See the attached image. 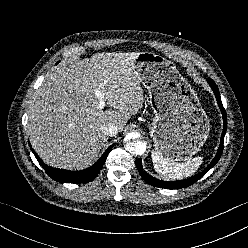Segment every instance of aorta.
<instances>
[{
    "mask_svg": "<svg viewBox=\"0 0 248 248\" xmlns=\"http://www.w3.org/2000/svg\"><path fill=\"white\" fill-rule=\"evenodd\" d=\"M137 133L128 134V141L126 143V150L134 155H143L146 151V143L136 140Z\"/></svg>",
    "mask_w": 248,
    "mask_h": 248,
    "instance_id": "obj_1",
    "label": "aorta"
}]
</instances>
